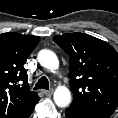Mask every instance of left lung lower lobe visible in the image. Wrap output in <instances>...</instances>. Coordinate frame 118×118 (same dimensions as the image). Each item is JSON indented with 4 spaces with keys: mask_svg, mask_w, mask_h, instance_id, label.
I'll return each mask as SVG.
<instances>
[{
    "mask_svg": "<svg viewBox=\"0 0 118 118\" xmlns=\"http://www.w3.org/2000/svg\"><path fill=\"white\" fill-rule=\"evenodd\" d=\"M65 115L67 118H109L110 117L109 114L81 111L73 107L67 108L65 111Z\"/></svg>",
    "mask_w": 118,
    "mask_h": 118,
    "instance_id": "left-lung-lower-lobe-1",
    "label": "left lung lower lobe"
}]
</instances>
